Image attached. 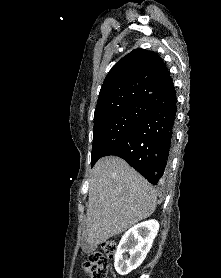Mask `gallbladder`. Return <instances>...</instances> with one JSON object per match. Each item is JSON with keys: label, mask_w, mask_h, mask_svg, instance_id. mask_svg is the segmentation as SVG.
<instances>
[{"label": "gallbladder", "mask_w": 221, "mask_h": 278, "mask_svg": "<svg viewBox=\"0 0 221 278\" xmlns=\"http://www.w3.org/2000/svg\"><path fill=\"white\" fill-rule=\"evenodd\" d=\"M89 249H90L89 244H84L83 250L87 252V251H89Z\"/></svg>", "instance_id": "gallbladder-1"}]
</instances>
